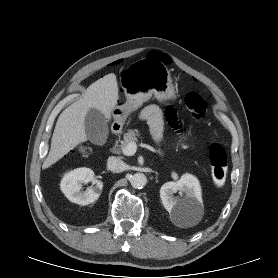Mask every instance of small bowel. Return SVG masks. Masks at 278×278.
Returning <instances> with one entry per match:
<instances>
[{
  "mask_svg": "<svg viewBox=\"0 0 278 278\" xmlns=\"http://www.w3.org/2000/svg\"><path fill=\"white\" fill-rule=\"evenodd\" d=\"M166 115L168 120L172 124L176 125L175 113L172 108H167ZM140 118L149 124L154 139L159 141L161 139L163 130L162 113L159 107L155 105L147 106L141 111Z\"/></svg>",
  "mask_w": 278,
  "mask_h": 278,
  "instance_id": "small-bowel-1",
  "label": "small bowel"
}]
</instances>
